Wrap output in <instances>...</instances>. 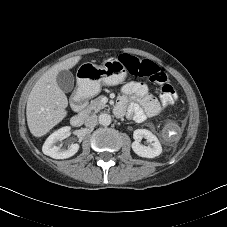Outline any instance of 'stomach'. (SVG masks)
Returning <instances> with one entry per match:
<instances>
[{
	"label": "stomach",
	"mask_w": 227,
	"mask_h": 227,
	"mask_svg": "<svg viewBox=\"0 0 227 227\" xmlns=\"http://www.w3.org/2000/svg\"><path fill=\"white\" fill-rule=\"evenodd\" d=\"M126 76V68L118 59L106 60L100 66L86 62L78 69V90L84 96L92 97L100 92L102 85H118Z\"/></svg>",
	"instance_id": "obj_1"
}]
</instances>
